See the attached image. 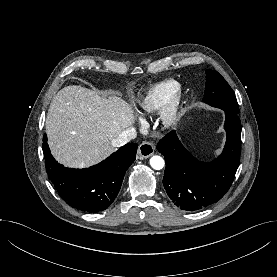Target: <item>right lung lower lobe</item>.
I'll use <instances>...</instances> for the list:
<instances>
[{
    "instance_id": "98d812e1",
    "label": "right lung lower lobe",
    "mask_w": 277,
    "mask_h": 277,
    "mask_svg": "<svg viewBox=\"0 0 277 277\" xmlns=\"http://www.w3.org/2000/svg\"><path fill=\"white\" fill-rule=\"evenodd\" d=\"M136 152L137 145L128 143L92 167L65 168L51 155L46 134L43 137L49 179L67 204L85 213L101 212L113 203L127 168L136 158Z\"/></svg>"
}]
</instances>
